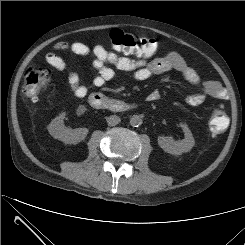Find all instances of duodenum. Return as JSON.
<instances>
[{"label":"duodenum","mask_w":245,"mask_h":245,"mask_svg":"<svg viewBox=\"0 0 245 245\" xmlns=\"http://www.w3.org/2000/svg\"><path fill=\"white\" fill-rule=\"evenodd\" d=\"M89 103L97 109L123 112L134 108V104L126 103L121 100L108 98L100 93H93L89 97Z\"/></svg>","instance_id":"duodenum-1"}]
</instances>
